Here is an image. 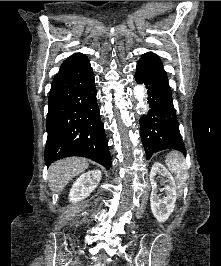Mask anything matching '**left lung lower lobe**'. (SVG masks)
Here are the masks:
<instances>
[{
	"label": "left lung lower lobe",
	"mask_w": 221,
	"mask_h": 266,
	"mask_svg": "<svg viewBox=\"0 0 221 266\" xmlns=\"http://www.w3.org/2000/svg\"><path fill=\"white\" fill-rule=\"evenodd\" d=\"M135 79L146 85L150 107L149 113L140 118V136L146 158L165 149H175L186 155L165 70L138 61Z\"/></svg>",
	"instance_id": "1"
}]
</instances>
